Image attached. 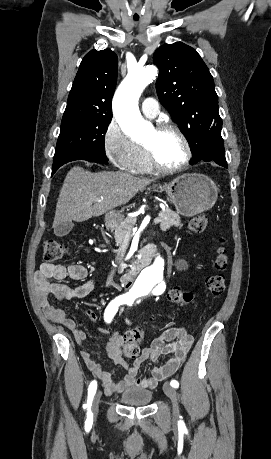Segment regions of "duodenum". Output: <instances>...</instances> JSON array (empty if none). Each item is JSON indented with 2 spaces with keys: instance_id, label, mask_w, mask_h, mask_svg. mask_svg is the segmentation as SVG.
<instances>
[{
  "instance_id": "duodenum-1",
  "label": "duodenum",
  "mask_w": 271,
  "mask_h": 459,
  "mask_svg": "<svg viewBox=\"0 0 271 459\" xmlns=\"http://www.w3.org/2000/svg\"><path fill=\"white\" fill-rule=\"evenodd\" d=\"M115 223V219L113 217H109L108 226L112 228L115 226ZM146 264L147 258L145 255L136 259L131 270L122 276V282L124 284H131L135 276L144 268Z\"/></svg>"
}]
</instances>
